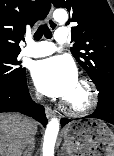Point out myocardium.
Masks as SVG:
<instances>
[{"label": "myocardium", "instance_id": "obj_1", "mask_svg": "<svg viewBox=\"0 0 114 156\" xmlns=\"http://www.w3.org/2000/svg\"><path fill=\"white\" fill-rule=\"evenodd\" d=\"M78 83L85 89L87 99L81 106H73L66 99L62 103L64 111L71 116H81L91 112L98 103V94L94 84L87 78L79 79Z\"/></svg>", "mask_w": 114, "mask_h": 156}]
</instances>
